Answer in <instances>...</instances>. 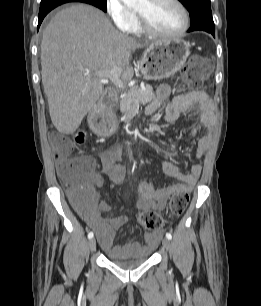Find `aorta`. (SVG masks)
I'll use <instances>...</instances> for the list:
<instances>
[{
	"mask_svg": "<svg viewBox=\"0 0 261 306\" xmlns=\"http://www.w3.org/2000/svg\"><path fill=\"white\" fill-rule=\"evenodd\" d=\"M129 7H134L140 4L143 0H122Z\"/></svg>",
	"mask_w": 261,
	"mask_h": 306,
	"instance_id": "762f6f07",
	"label": "aorta"
}]
</instances>
